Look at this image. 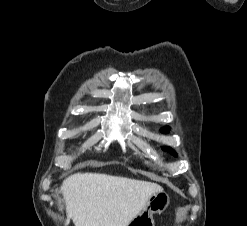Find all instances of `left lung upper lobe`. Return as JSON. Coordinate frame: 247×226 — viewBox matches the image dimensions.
I'll list each match as a JSON object with an SVG mask.
<instances>
[{
	"instance_id": "5c2ea615",
	"label": "left lung upper lobe",
	"mask_w": 247,
	"mask_h": 226,
	"mask_svg": "<svg viewBox=\"0 0 247 226\" xmlns=\"http://www.w3.org/2000/svg\"><path fill=\"white\" fill-rule=\"evenodd\" d=\"M168 131H169V128L168 127L162 128V132L163 133H168ZM163 150L169 152L170 154H172L174 156H177V154L175 153V151L173 149L169 148V147H165V148H163Z\"/></svg>"
}]
</instances>
